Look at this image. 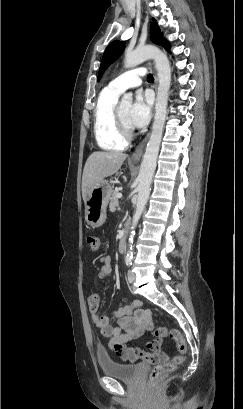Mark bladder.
Wrapping results in <instances>:
<instances>
[{"label":"bladder","mask_w":243,"mask_h":409,"mask_svg":"<svg viewBox=\"0 0 243 409\" xmlns=\"http://www.w3.org/2000/svg\"><path fill=\"white\" fill-rule=\"evenodd\" d=\"M102 372L123 381H134L141 372L140 364L120 363L113 359H98Z\"/></svg>","instance_id":"bladder-1"}]
</instances>
